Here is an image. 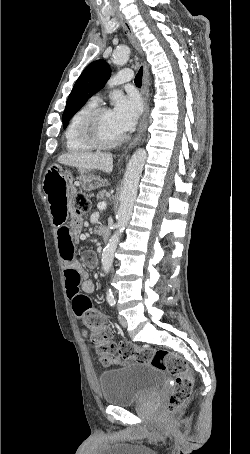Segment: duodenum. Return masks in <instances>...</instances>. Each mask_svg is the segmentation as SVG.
<instances>
[{
    "mask_svg": "<svg viewBox=\"0 0 250 454\" xmlns=\"http://www.w3.org/2000/svg\"><path fill=\"white\" fill-rule=\"evenodd\" d=\"M100 233L104 242H108L110 240L111 233L107 228H101Z\"/></svg>",
    "mask_w": 250,
    "mask_h": 454,
    "instance_id": "410a0bca",
    "label": "duodenum"
}]
</instances>
